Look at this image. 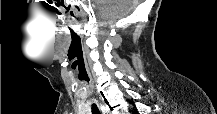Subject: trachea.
<instances>
[{
    "mask_svg": "<svg viewBox=\"0 0 217 114\" xmlns=\"http://www.w3.org/2000/svg\"><path fill=\"white\" fill-rule=\"evenodd\" d=\"M91 109H92L93 114H99V110L96 104H92Z\"/></svg>",
    "mask_w": 217,
    "mask_h": 114,
    "instance_id": "3493384b",
    "label": "trachea"
}]
</instances>
